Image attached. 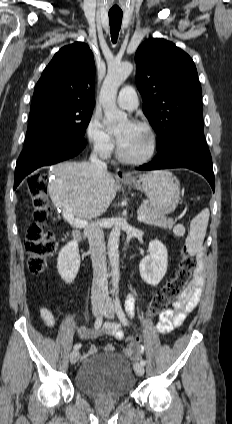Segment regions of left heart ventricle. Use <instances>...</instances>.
<instances>
[{
  "label": "left heart ventricle",
  "instance_id": "left-heart-ventricle-1",
  "mask_svg": "<svg viewBox=\"0 0 232 424\" xmlns=\"http://www.w3.org/2000/svg\"><path fill=\"white\" fill-rule=\"evenodd\" d=\"M125 132V138L120 145L126 155L139 157L149 151L150 137L143 128L124 122L117 128L116 134L119 136Z\"/></svg>",
  "mask_w": 232,
  "mask_h": 424
}]
</instances>
